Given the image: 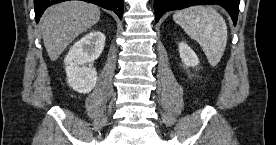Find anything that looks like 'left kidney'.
I'll return each instance as SVG.
<instances>
[{
  "label": "left kidney",
  "mask_w": 276,
  "mask_h": 145,
  "mask_svg": "<svg viewBox=\"0 0 276 145\" xmlns=\"http://www.w3.org/2000/svg\"><path fill=\"white\" fill-rule=\"evenodd\" d=\"M179 53L183 64L187 67H195L199 64L196 53L188 46L187 43H179Z\"/></svg>",
  "instance_id": "5707ae66"
}]
</instances>
